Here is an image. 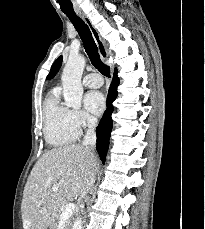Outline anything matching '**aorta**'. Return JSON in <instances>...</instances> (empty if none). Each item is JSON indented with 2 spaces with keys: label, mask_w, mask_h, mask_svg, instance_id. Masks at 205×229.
Here are the masks:
<instances>
[{
  "label": "aorta",
  "mask_w": 205,
  "mask_h": 229,
  "mask_svg": "<svg viewBox=\"0 0 205 229\" xmlns=\"http://www.w3.org/2000/svg\"><path fill=\"white\" fill-rule=\"evenodd\" d=\"M86 65L83 56H70L61 76L65 105L74 109H80L82 105L83 87L81 78ZM82 220L77 217L72 229H81Z\"/></svg>",
  "instance_id": "1"
}]
</instances>
